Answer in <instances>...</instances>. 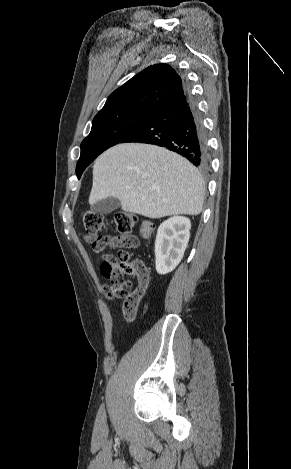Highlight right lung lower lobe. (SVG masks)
Wrapping results in <instances>:
<instances>
[{
	"label": "right lung lower lobe",
	"mask_w": 291,
	"mask_h": 469,
	"mask_svg": "<svg viewBox=\"0 0 291 469\" xmlns=\"http://www.w3.org/2000/svg\"><path fill=\"white\" fill-rule=\"evenodd\" d=\"M183 82V93L164 103L120 143L140 142L166 147L204 170L208 168L210 158L207 136L188 83L185 79Z\"/></svg>",
	"instance_id": "1"
}]
</instances>
